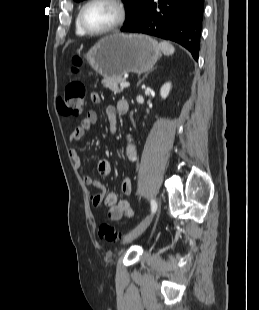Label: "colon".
I'll return each instance as SVG.
<instances>
[{
    "label": "colon",
    "mask_w": 259,
    "mask_h": 310,
    "mask_svg": "<svg viewBox=\"0 0 259 310\" xmlns=\"http://www.w3.org/2000/svg\"><path fill=\"white\" fill-rule=\"evenodd\" d=\"M73 65L71 71L74 73L79 72L83 61L80 57H75L72 61ZM86 100V87L78 81H70L62 95L58 98V108L66 115H80L84 111ZM99 235L101 239L108 242H115L121 239L122 234L116 227L109 223H102L99 227Z\"/></svg>",
    "instance_id": "1"
}]
</instances>
